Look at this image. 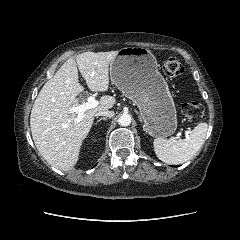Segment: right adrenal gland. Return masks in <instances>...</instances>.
<instances>
[{"label":"right adrenal gland","mask_w":240,"mask_h":240,"mask_svg":"<svg viewBox=\"0 0 240 240\" xmlns=\"http://www.w3.org/2000/svg\"><path fill=\"white\" fill-rule=\"evenodd\" d=\"M101 120H104V121H105V120H107V118H106V117H101V118H99V119L97 120V123L100 122ZM97 123H96V124H97Z\"/></svg>","instance_id":"right-adrenal-gland-1"}]
</instances>
